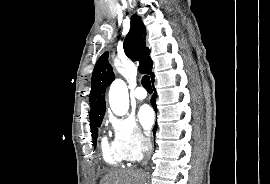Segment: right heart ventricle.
<instances>
[{"label":"right heart ventricle","instance_id":"e07e8e85","mask_svg":"<svg viewBox=\"0 0 270 184\" xmlns=\"http://www.w3.org/2000/svg\"><path fill=\"white\" fill-rule=\"evenodd\" d=\"M101 151L106 163L112 166H119L125 161V158L118 152L114 143H109L103 138L101 142Z\"/></svg>","mask_w":270,"mask_h":184}]
</instances>
